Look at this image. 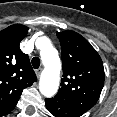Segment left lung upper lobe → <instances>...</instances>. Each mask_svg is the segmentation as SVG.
Segmentation results:
<instances>
[{
	"mask_svg": "<svg viewBox=\"0 0 117 117\" xmlns=\"http://www.w3.org/2000/svg\"><path fill=\"white\" fill-rule=\"evenodd\" d=\"M56 34L62 48L63 78L55 97L86 112L96 104L104 85L102 60L80 34L70 30Z\"/></svg>",
	"mask_w": 117,
	"mask_h": 117,
	"instance_id": "1",
	"label": "left lung upper lobe"
}]
</instances>
